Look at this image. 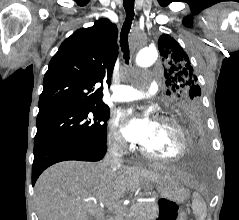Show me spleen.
Segmentation results:
<instances>
[{
  "mask_svg": "<svg viewBox=\"0 0 239 220\" xmlns=\"http://www.w3.org/2000/svg\"><path fill=\"white\" fill-rule=\"evenodd\" d=\"M192 209L196 220H205L206 204L198 193L193 194Z\"/></svg>",
  "mask_w": 239,
  "mask_h": 220,
  "instance_id": "spleen-1",
  "label": "spleen"
}]
</instances>
